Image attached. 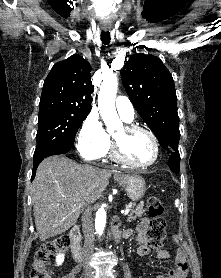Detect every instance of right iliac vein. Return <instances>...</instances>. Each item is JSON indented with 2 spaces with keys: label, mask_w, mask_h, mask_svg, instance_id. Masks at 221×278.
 Returning <instances> with one entry per match:
<instances>
[{
  "label": "right iliac vein",
  "mask_w": 221,
  "mask_h": 278,
  "mask_svg": "<svg viewBox=\"0 0 221 278\" xmlns=\"http://www.w3.org/2000/svg\"><path fill=\"white\" fill-rule=\"evenodd\" d=\"M85 278H93L91 274H87Z\"/></svg>",
  "instance_id": "63e3f726"
}]
</instances>
